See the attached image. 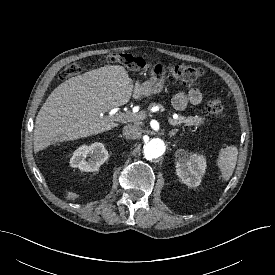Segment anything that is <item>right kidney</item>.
I'll use <instances>...</instances> for the list:
<instances>
[{
    "mask_svg": "<svg viewBox=\"0 0 275 275\" xmlns=\"http://www.w3.org/2000/svg\"><path fill=\"white\" fill-rule=\"evenodd\" d=\"M109 155L102 143L95 142L89 146L83 145L74 151L70 158V166L84 172L97 171L108 159Z\"/></svg>",
    "mask_w": 275,
    "mask_h": 275,
    "instance_id": "1",
    "label": "right kidney"
}]
</instances>
